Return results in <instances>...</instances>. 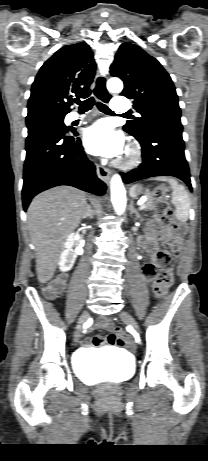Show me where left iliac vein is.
Returning a JSON list of instances; mask_svg holds the SVG:
<instances>
[{"label": "left iliac vein", "mask_w": 208, "mask_h": 461, "mask_svg": "<svg viewBox=\"0 0 208 461\" xmlns=\"http://www.w3.org/2000/svg\"><path fill=\"white\" fill-rule=\"evenodd\" d=\"M120 317L121 319L126 322L127 324H129L131 327H133V329L137 332L140 331L139 329V325L137 323V321L127 312V311H122L120 313Z\"/></svg>", "instance_id": "left-iliac-vein-1"}]
</instances>
